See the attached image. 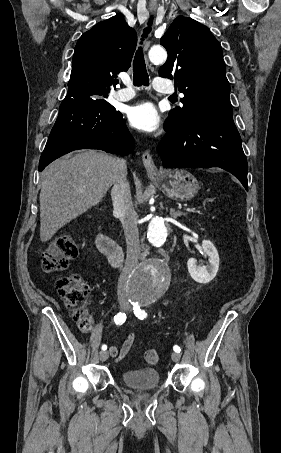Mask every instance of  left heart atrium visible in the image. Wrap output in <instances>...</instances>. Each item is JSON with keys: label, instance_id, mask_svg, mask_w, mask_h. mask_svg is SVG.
<instances>
[{"label": "left heart atrium", "instance_id": "1", "mask_svg": "<svg viewBox=\"0 0 281 453\" xmlns=\"http://www.w3.org/2000/svg\"><path fill=\"white\" fill-rule=\"evenodd\" d=\"M130 125L140 131H156L161 123V117L155 106L150 102L138 103L127 111Z\"/></svg>", "mask_w": 281, "mask_h": 453}]
</instances>
